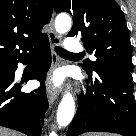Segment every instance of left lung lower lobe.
I'll return each mask as SVG.
<instances>
[{
  "mask_svg": "<svg viewBox=\"0 0 136 136\" xmlns=\"http://www.w3.org/2000/svg\"><path fill=\"white\" fill-rule=\"evenodd\" d=\"M91 86L79 96L77 113L67 136L85 132H111L136 136V105L131 72H87Z\"/></svg>",
  "mask_w": 136,
  "mask_h": 136,
  "instance_id": "0a47b994",
  "label": "left lung lower lobe"
}]
</instances>
